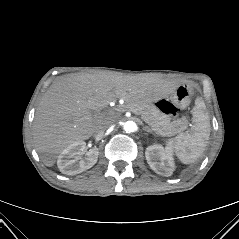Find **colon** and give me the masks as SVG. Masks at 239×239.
Listing matches in <instances>:
<instances>
[{
    "label": "colon",
    "mask_w": 239,
    "mask_h": 239,
    "mask_svg": "<svg viewBox=\"0 0 239 239\" xmlns=\"http://www.w3.org/2000/svg\"><path fill=\"white\" fill-rule=\"evenodd\" d=\"M160 110L170 117H175L178 114L177 107L167 100H161L158 103Z\"/></svg>",
    "instance_id": "5ec220e1"
}]
</instances>
